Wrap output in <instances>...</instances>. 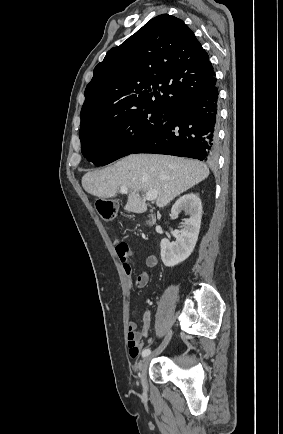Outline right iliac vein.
<instances>
[{
    "instance_id": "right-iliac-vein-1",
    "label": "right iliac vein",
    "mask_w": 283,
    "mask_h": 434,
    "mask_svg": "<svg viewBox=\"0 0 283 434\" xmlns=\"http://www.w3.org/2000/svg\"><path fill=\"white\" fill-rule=\"evenodd\" d=\"M172 337V331H168L167 335L165 336L163 342L161 343V345L154 351L153 354L148 355L142 362L141 366H140V379H141V384L143 386V388H147V371H148V366L150 364V362L152 361V359L154 357H156L157 355H159L168 345L170 339Z\"/></svg>"
}]
</instances>
